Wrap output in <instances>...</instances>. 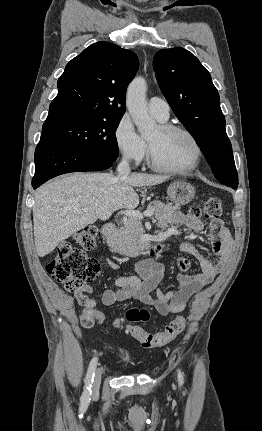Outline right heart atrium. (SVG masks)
<instances>
[{"instance_id":"d8ad5b80","label":"right heart atrium","mask_w":262,"mask_h":431,"mask_svg":"<svg viewBox=\"0 0 262 431\" xmlns=\"http://www.w3.org/2000/svg\"><path fill=\"white\" fill-rule=\"evenodd\" d=\"M116 146L121 155L132 162L141 161L147 152L145 141L137 133L128 115H123L114 130Z\"/></svg>"}]
</instances>
